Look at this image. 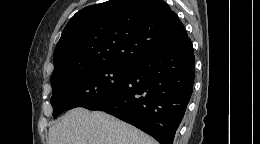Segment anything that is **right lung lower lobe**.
<instances>
[{
	"mask_svg": "<svg viewBox=\"0 0 260 144\" xmlns=\"http://www.w3.org/2000/svg\"><path fill=\"white\" fill-rule=\"evenodd\" d=\"M195 57L190 38L129 67L125 84L110 97L86 107L105 111L173 144L192 95Z\"/></svg>",
	"mask_w": 260,
	"mask_h": 144,
	"instance_id": "obj_1",
	"label": "right lung lower lobe"
}]
</instances>
